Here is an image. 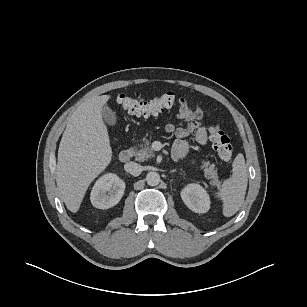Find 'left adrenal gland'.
<instances>
[{
  "mask_svg": "<svg viewBox=\"0 0 307 307\" xmlns=\"http://www.w3.org/2000/svg\"><path fill=\"white\" fill-rule=\"evenodd\" d=\"M174 172H176V169L170 171V173H174Z\"/></svg>",
  "mask_w": 307,
  "mask_h": 307,
  "instance_id": "a2214340",
  "label": "left adrenal gland"
}]
</instances>
